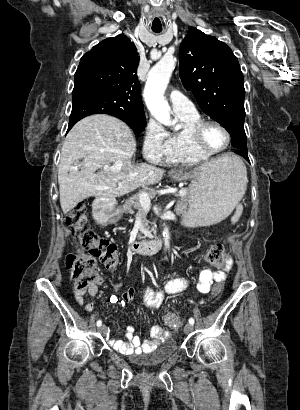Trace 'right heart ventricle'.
I'll use <instances>...</instances> for the list:
<instances>
[{"instance_id": "right-heart-ventricle-1", "label": "right heart ventricle", "mask_w": 300, "mask_h": 410, "mask_svg": "<svg viewBox=\"0 0 300 410\" xmlns=\"http://www.w3.org/2000/svg\"><path fill=\"white\" fill-rule=\"evenodd\" d=\"M175 114L182 122V128L167 133L166 149L161 159L165 163L182 165H195L209 159L211 155L200 152L191 139L192 128L201 120L199 113Z\"/></svg>"}]
</instances>
